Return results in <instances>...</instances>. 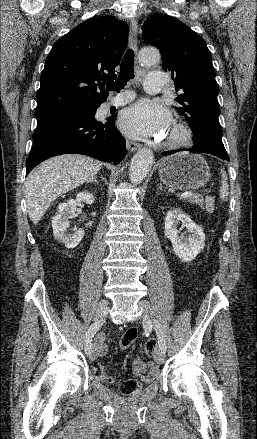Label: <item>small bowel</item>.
Listing matches in <instances>:
<instances>
[{
	"label": "small bowel",
	"mask_w": 257,
	"mask_h": 439,
	"mask_svg": "<svg viewBox=\"0 0 257 439\" xmlns=\"http://www.w3.org/2000/svg\"><path fill=\"white\" fill-rule=\"evenodd\" d=\"M96 352L98 356H104L107 352V345L105 338L99 336L96 340ZM158 366L155 362L145 363L140 358H135L131 365V372L134 376L139 378L143 384L151 383L158 374Z\"/></svg>",
	"instance_id": "small-bowel-1"
}]
</instances>
